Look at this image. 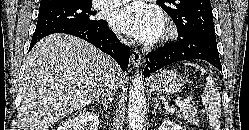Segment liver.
<instances>
[{"mask_svg": "<svg viewBox=\"0 0 249 130\" xmlns=\"http://www.w3.org/2000/svg\"><path fill=\"white\" fill-rule=\"evenodd\" d=\"M114 62L90 43L66 34L40 40L27 57L21 88V130H48L97 100ZM122 86L124 74H116Z\"/></svg>", "mask_w": 249, "mask_h": 130, "instance_id": "liver-1", "label": "liver"}]
</instances>
